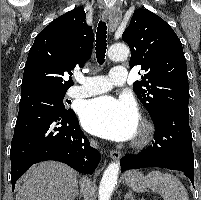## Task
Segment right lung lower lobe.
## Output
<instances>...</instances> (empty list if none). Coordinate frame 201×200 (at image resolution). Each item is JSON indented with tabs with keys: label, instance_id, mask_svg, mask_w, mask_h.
Instances as JSON below:
<instances>
[{
	"label": "right lung lower lobe",
	"instance_id": "1",
	"mask_svg": "<svg viewBox=\"0 0 201 200\" xmlns=\"http://www.w3.org/2000/svg\"><path fill=\"white\" fill-rule=\"evenodd\" d=\"M10 158L12 190L29 167L41 161H60L84 174H91L100 162L75 113L47 106L19 111Z\"/></svg>",
	"mask_w": 201,
	"mask_h": 200
}]
</instances>
